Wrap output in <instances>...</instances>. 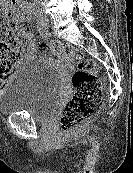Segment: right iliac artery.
I'll return each mask as SVG.
<instances>
[{"mask_svg": "<svg viewBox=\"0 0 133 173\" xmlns=\"http://www.w3.org/2000/svg\"><path fill=\"white\" fill-rule=\"evenodd\" d=\"M32 15L34 16V18H36L37 20V24H38V29H39V33L41 36L46 37L47 36V32L46 29L44 28V22L43 20L38 16L37 12L34 11V8H32Z\"/></svg>", "mask_w": 133, "mask_h": 173, "instance_id": "obj_1", "label": "right iliac artery"}]
</instances>
